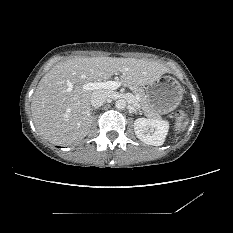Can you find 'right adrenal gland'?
<instances>
[{"label": "right adrenal gland", "mask_w": 233, "mask_h": 233, "mask_svg": "<svg viewBox=\"0 0 233 233\" xmlns=\"http://www.w3.org/2000/svg\"><path fill=\"white\" fill-rule=\"evenodd\" d=\"M97 109H98V107H92V108H91L92 118H93V117H94V115H95V112H93V113H92V111H93V110L95 111V110H97Z\"/></svg>", "instance_id": "2a0ac1e0"}]
</instances>
